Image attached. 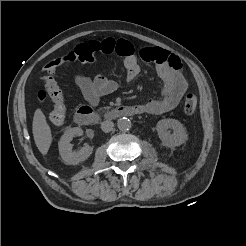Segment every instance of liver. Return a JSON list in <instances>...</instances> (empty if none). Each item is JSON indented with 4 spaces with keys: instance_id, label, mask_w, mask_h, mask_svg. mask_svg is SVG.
Segmentation results:
<instances>
[{
    "instance_id": "liver-1",
    "label": "liver",
    "mask_w": 246,
    "mask_h": 246,
    "mask_svg": "<svg viewBox=\"0 0 246 246\" xmlns=\"http://www.w3.org/2000/svg\"><path fill=\"white\" fill-rule=\"evenodd\" d=\"M32 132L38 150L42 155H46L52 143V134L46 117L39 108L34 113Z\"/></svg>"
}]
</instances>
